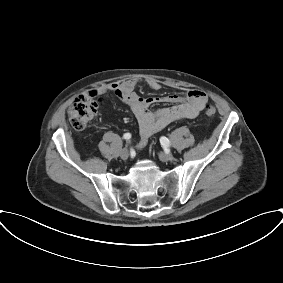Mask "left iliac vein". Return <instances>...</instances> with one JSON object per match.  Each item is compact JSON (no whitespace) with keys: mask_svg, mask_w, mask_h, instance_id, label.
I'll return each mask as SVG.
<instances>
[{"mask_svg":"<svg viewBox=\"0 0 283 283\" xmlns=\"http://www.w3.org/2000/svg\"><path fill=\"white\" fill-rule=\"evenodd\" d=\"M159 158L161 161H170L173 159V155L171 153L161 152L159 153Z\"/></svg>","mask_w":283,"mask_h":283,"instance_id":"obj_1","label":"left iliac vein"}]
</instances>
